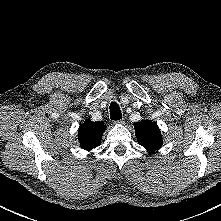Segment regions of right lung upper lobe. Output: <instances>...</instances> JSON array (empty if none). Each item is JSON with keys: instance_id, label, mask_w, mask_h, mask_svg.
Returning a JSON list of instances; mask_svg holds the SVG:
<instances>
[{"instance_id": "1", "label": "right lung upper lobe", "mask_w": 221, "mask_h": 221, "mask_svg": "<svg viewBox=\"0 0 221 221\" xmlns=\"http://www.w3.org/2000/svg\"><path fill=\"white\" fill-rule=\"evenodd\" d=\"M105 129L106 127L102 122H92L89 119L85 121L78 130L81 147L90 151L99 146Z\"/></svg>"}]
</instances>
